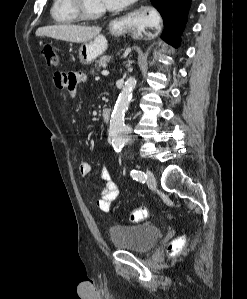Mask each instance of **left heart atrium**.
Segmentation results:
<instances>
[{
  "label": "left heart atrium",
  "mask_w": 247,
  "mask_h": 299,
  "mask_svg": "<svg viewBox=\"0 0 247 299\" xmlns=\"http://www.w3.org/2000/svg\"><path fill=\"white\" fill-rule=\"evenodd\" d=\"M102 4L107 9H119L121 7H124L128 3H130L132 0H101Z\"/></svg>",
  "instance_id": "39dd6f15"
}]
</instances>
